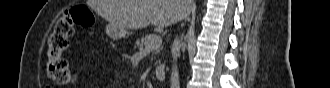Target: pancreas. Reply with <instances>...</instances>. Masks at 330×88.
<instances>
[{"mask_svg": "<svg viewBox=\"0 0 330 88\" xmlns=\"http://www.w3.org/2000/svg\"><path fill=\"white\" fill-rule=\"evenodd\" d=\"M156 38H157V35H154V34L146 35L142 39H138L136 41V47H138L139 49H143L144 47L149 46L151 43H154L156 41ZM159 48L155 49L154 53H156L159 50Z\"/></svg>", "mask_w": 330, "mask_h": 88, "instance_id": "cf45deb5", "label": "pancreas"}]
</instances>
